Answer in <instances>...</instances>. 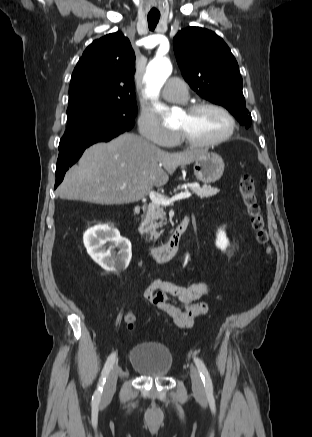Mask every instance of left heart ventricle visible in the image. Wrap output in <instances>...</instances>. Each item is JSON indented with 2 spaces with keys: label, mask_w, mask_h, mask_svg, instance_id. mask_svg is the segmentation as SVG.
Here are the masks:
<instances>
[{
  "label": "left heart ventricle",
  "mask_w": 312,
  "mask_h": 437,
  "mask_svg": "<svg viewBox=\"0 0 312 437\" xmlns=\"http://www.w3.org/2000/svg\"><path fill=\"white\" fill-rule=\"evenodd\" d=\"M176 127L193 139L206 141L223 135L228 129V121L219 111L206 108L193 115L183 113L178 118Z\"/></svg>",
  "instance_id": "obj_1"
}]
</instances>
